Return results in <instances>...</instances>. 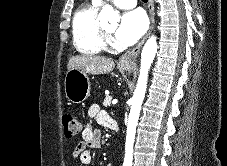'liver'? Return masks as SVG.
<instances>
[{
    "label": "liver",
    "mask_w": 227,
    "mask_h": 166,
    "mask_svg": "<svg viewBox=\"0 0 227 166\" xmlns=\"http://www.w3.org/2000/svg\"><path fill=\"white\" fill-rule=\"evenodd\" d=\"M115 67V63L111 58L77 55L70 58L67 69H78L87 74L100 75L110 73Z\"/></svg>",
    "instance_id": "obj_1"
}]
</instances>
